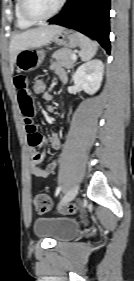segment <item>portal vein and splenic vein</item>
Listing matches in <instances>:
<instances>
[{"instance_id": "obj_1", "label": "portal vein and splenic vein", "mask_w": 134, "mask_h": 281, "mask_svg": "<svg viewBox=\"0 0 134 281\" xmlns=\"http://www.w3.org/2000/svg\"><path fill=\"white\" fill-rule=\"evenodd\" d=\"M72 59H73V60H76V59H77V55H76V54H73V55H72Z\"/></svg>"}]
</instances>
